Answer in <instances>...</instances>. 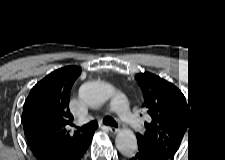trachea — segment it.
<instances>
[{
  "mask_svg": "<svg viewBox=\"0 0 225 160\" xmlns=\"http://www.w3.org/2000/svg\"><path fill=\"white\" fill-rule=\"evenodd\" d=\"M103 123L105 125H111V126H114V127L117 126L115 120L113 118L109 117V116H105L103 118ZM97 126H98L97 121H91L88 124L82 126L81 128H78V130H80L82 132H86V131H89V130H92V129L96 128Z\"/></svg>",
  "mask_w": 225,
  "mask_h": 160,
  "instance_id": "trachea-1",
  "label": "trachea"
}]
</instances>
